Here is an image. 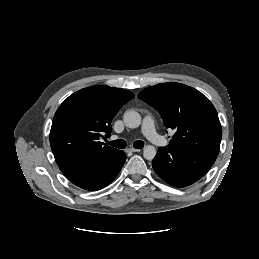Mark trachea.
<instances>
[{
  "mask_svg": "<svg viewBox=\"0 0 259 259\" xmlns=\"http://www.w3.org/2000/svg\"><path fill=\"white\" fill-rule=\"evenodd\" d=\"M109 145L119 148V149H123L126 147V141L123 139H119V140H114V141H110L107 142ZM133 147L136 149H142L144 147V142L141 140L135 141L133 143Z\"/></svg>",
  "mask_w": 259,
  "mask_h": 259,
  "instance_id": "trachea-1",
  "label": "trachea"
}]
</instances>
